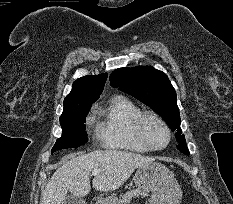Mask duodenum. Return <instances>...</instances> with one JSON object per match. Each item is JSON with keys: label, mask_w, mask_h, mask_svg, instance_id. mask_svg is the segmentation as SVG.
Instances as JSON below:
<instances>
[{"label": "duodenum", "mask_w": 233, "mask_h": 204, "mask_svg": "<svg viewBox=\"0 0 233 204\" xmlns=\"http://www.w3.org/2000/svg\"><path fill=\"white\" fill-rule=\"evenodd\" d=\"M91 204H103V202L101 201V199L95 198L92 200Z\"/></svg>", "instance_id": "410a0bca"}]
</instances>
